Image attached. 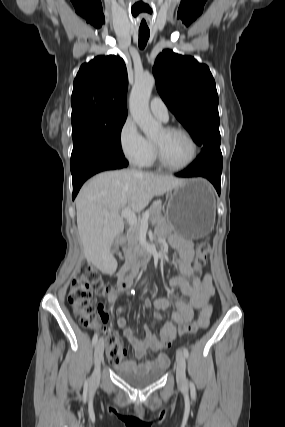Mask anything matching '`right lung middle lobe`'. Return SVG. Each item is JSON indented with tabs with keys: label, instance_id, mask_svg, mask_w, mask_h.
<instances>
[{
	"label": "right lung middle lobe",
	"instance_id": "1",
	"mask_svg": "<svg viewBox=\"0 0 285 427\" xmlns=\"http://www.w3.org/2000/svg\"><path fill=\"white\" fill-rule=\"evenodd\" d=\"M126 117L127 115L112 114H83L71 117L73 137L71 169L94 152L124 157L120 135Z\"/></svg>",
	"mask_w": 285,
	"mask_h": 427
}]
</instances>
